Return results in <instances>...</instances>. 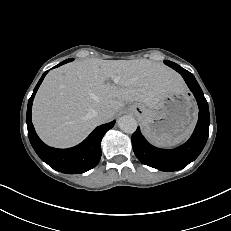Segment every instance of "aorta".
<instances>
[{
	"label": "aorta",
	"instance_id": "aorta-1",
	"mask_svg": "<svg viewBox=\"0 0 231 231\" xmlns=\"http://www.w3.org/2000/svg\"><path fill=\"white\" fill-rule=\"evenodd\" d=\"M118 126L125 133H133L137 129V122L132 116L124 115L118 119Z\"/></svg>",
	"mask_w": 231,
	"mask_h": 231
}]
</instances>
